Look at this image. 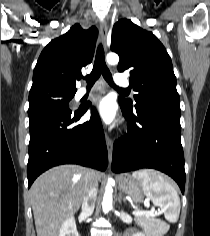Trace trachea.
<instances>
[{"instance_id":"obj_1","label":"trachea","mask_w":210,"mask_h":236,"mask_svg":"<svg viewBox=\"0 0 210 236\" xmlns=\"http://www.w3.org/2000/svg\"><path fill=\"white\" fill-rule=\"evenodd\" d=\"M101 74L103 75L104 79L108 82V84H110L116 90L120 92H127V90L120 89L116 87V85L114 84L112 75L105 63L103 47L101 44H99L92 72L86 77H84V79L87 81V86L92 87Z\"/></svg>"}]
</instances>
